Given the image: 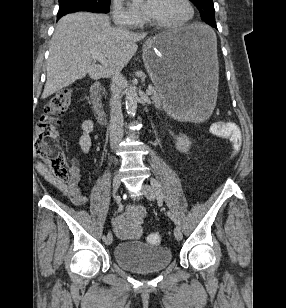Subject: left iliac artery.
<instances>
[{"label":"left iliac artery","instance_id":"left-iliac-artery-1","mask_svg":"<svg viewBox=\"0 0 286 308\" xmlns=\"http://www.w3.org/2000/svg\"><path fill=\"white\" fill-rule=\"evenodd\" d=\"M150 183H151V186L153 187L156 195L158 196V198L162 199V193H161V189H160L158 182L154 178H151ZM167 214L174 221L176 226H178L180 228V223H179V221H177V219L174 217V215L171 212H167Z\"/></svg>","mask_w":286,"mask_h":308}]
</instances>
